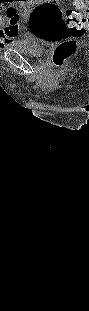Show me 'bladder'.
<instances>
[{
    "mask_svg": "<svg viewBox=\"0 0 89 311\" xmlns=\"http://www.w3.org/2000/svg\"><path fill=\"white\" fill-rule=\"evenodd\" d=\"M9 48L30 57H39L44 52V46L30 36H25L22 39L11 43Z\"/></svg>",
    "mask_w": 89,
    "mask_h": 311,
    "instance_id": "bladder-1",
    "label": "bladder"
}]
</instances>
